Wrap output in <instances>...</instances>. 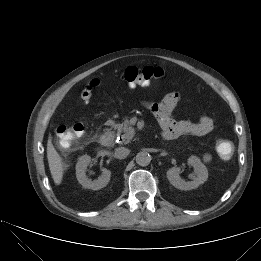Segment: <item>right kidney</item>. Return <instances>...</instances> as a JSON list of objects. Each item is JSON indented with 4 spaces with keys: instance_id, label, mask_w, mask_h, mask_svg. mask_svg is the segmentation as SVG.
Segmentation results:
<instances>
[{
    "instance_id": "obj_1",
    "label": "right kidney",
    "mask_w": 261,
    "mask_h": 261,
    "mask_svg": "<svg viewBox=\"0 0 261 261\" xmlns=\"http://www.w3.org/2000/svg\"><path fill=\"white\" fill-rule=\"evenodd\" d=\"M91 163V157L83 155L78 159L76 164V177L78 182L84 187L92 190L104 188L110 181L111 171L103 168L102 175L97 180H90L86 176V169Z\"/></svg>"
}]
</instances>
